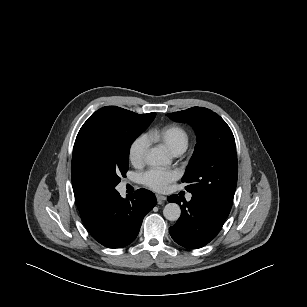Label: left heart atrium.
Wrapping results in <instances>:
<instances>
[{
	"instance_id": "1",
	"label": "left heart atrium",
	"mask_w": 307,
	"mask_h": 307,
	"mask_svg": "<svg viewBox=\"0 0 307 307\" xmlns=\"http://www.w3.org/2000/svg\"><path fill=\"white\" fill-rule=\"evenodd\" d=\"M178 178V173L172 170L151 168L141 175V181L155 191H164L168 184Z\"/></svg>"
}]
</instances>
